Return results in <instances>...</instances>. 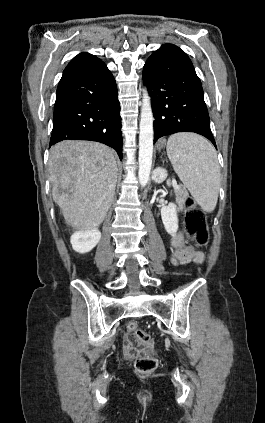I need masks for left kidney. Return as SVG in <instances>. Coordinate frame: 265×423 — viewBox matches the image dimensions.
Segmentation results:
<instances>
[{"instance_id":"left-kidney-1","label":"left kidney","mask_w":265,"mask_h":423,"mask_svg":"<svg viewBox=\"0 0 265 423\" xmlns=\"http://www.w3.org/2000/svg\"><path fill=\"white\" fill-rule=\"evenodd\" d=\"M167 170L162 167H157L153 172V180L155 183H162L167 178ZM167 185L170 186V180H167ZM161 218L165 230L174 236L178 230V216L176 205L169 203L167 206L161 208Z\"/></svg>"}]
</instances>
